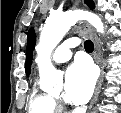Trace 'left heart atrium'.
<instances>
[{
  "label": "left heart atrium",
  "mask_w": 121,
  "mask_h": 113,
  "mask_svg": "<svg viewBox=\"0 0 121 113\" xmlns=\"http://www.w3.org/2000/svg\"><path fill=\"white\" fill-rule=\"evenodd\" d=\"M95 83V72L87 61H76L65 74V98L73 104H84L90 98Z\"/></svg>",
  "instance_id": "obj_1"
}]
</instances>
